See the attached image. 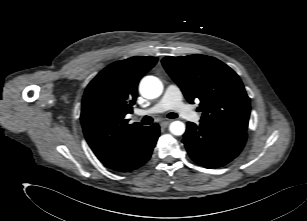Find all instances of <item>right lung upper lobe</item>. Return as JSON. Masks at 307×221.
I'll return each mask as SVG.
<instances>
[{
	"label": "right lung upper lobe",
	"instance_id": "1",
	"mask_svg": "<svg viewBox=\"0 0 307 221\" xmlns=\"http://www.w3.org/2000/svg\"><path fill=\"white\" fill-rule=\"evenodd\" d=\"M155 57H132L104 68L87 86L81 110L85 138L98 159L125 143L143 126L128 124L141 77L157 62Z\"/></svg>",
	"mask_w": 307,
	"mask_h": 221
}]
</instances>
